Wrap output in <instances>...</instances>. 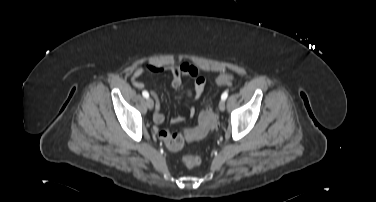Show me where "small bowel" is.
Returning <instances> with one entry per match:
<instances>
[{
	"label": "small bowel",
	"mask_w": 376,
	"mask_h": 202,
	"mask_svg": "<svg viewBox=\"0 0 376 202\" xmlns=\"http://www.w3.org/2000/svg\"><path fill=\"white\" fill-rule=\"evenodd\" d=\"M145 73L164 75L168 77L170 84L174 88H179L182 84L183 77H190L194 81L193 89L188 91V95L194 99H199L204 91L205 79L198 74L197 69L189 64L182 63L181 65L175 66H162V65H145L141 68L136 69L131 77V81L134 87L142 89L144 83L140 80V77ZM152 96L156 100L155 110L153 112V120L155 123H162L164 121V115L161 110V105L159 101V96L155 91H152ZM195 115V109L190 108L188 110V116L193 117ZM184 120L182 116H176L172 118V123H180Z\"/></svg>",
	"instance_id": "1"
}]
</instances>
